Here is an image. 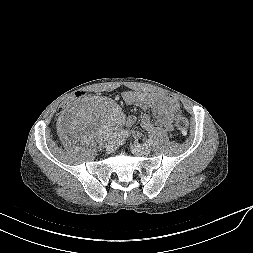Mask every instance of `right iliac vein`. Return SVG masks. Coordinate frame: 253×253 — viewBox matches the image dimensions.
<instances>
[{
    "mask_svg": "<svg viewBox=\"0 0 253 253\" xmlns=\"http://www.w3.org/2000/svg\"><path fill=\"white\" fill-rule=\"evenodd\" d=\"M118 140H112L108 143L106 149L108 152H113L114 150H116L117 146H118Z\"/></svg>",
    "mask_w": 253,
    "mask_h": 253,
    "instance_id": "obj_1",
    "label": "right iliac vein"
}]
</instances>
